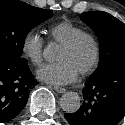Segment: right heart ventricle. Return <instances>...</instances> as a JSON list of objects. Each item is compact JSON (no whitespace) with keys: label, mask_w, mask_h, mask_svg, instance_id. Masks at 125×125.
Listing matches in <instances>:
<instances>
[{"label":"right heart ventricle","mask_w":125,"mask_h":125,"mask_svg":"<svg viewBox=\"0 0 125 125\" xmlns=\"http://www.w3.org/2000/svg\"><path fill=\"white\" fill-rule=\"evenodd\" d=\"M83 31L81 27L70 21L59 22L49 29L51 39L60 45Z\"/></svg>","instance_id":"1"}]
</instances>
